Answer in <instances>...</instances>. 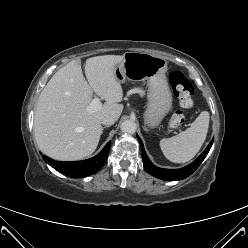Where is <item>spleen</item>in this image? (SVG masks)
I'll use <instances>...</instances> for the list:
<instances>
[{"instance_id":"obj_1","label":"spleen","mask_w":248,"mask_h":248,"mask_svg":"<svg viewBox=\"0 0 248 248\" xmlns=\"http://www.w3.org/2000/svg\"><path fill=\"white\" fill-rule=\"evenodd\" d=\"M209 113L203 111L190 128L171 138L160 140V148L164 156L174 163L190 161L201 149L208 132Z\"/></svg>"}]
</instances>
